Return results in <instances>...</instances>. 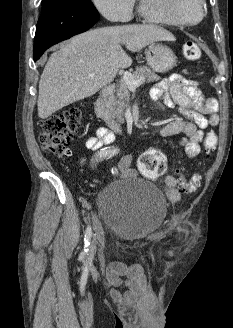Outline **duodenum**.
I'll return each mask as SVG.
<instances>
[{
    "mask_svg": "<svg viewBox=\"0 0 233 328\" xmlns=\"http://www.w3.org/2000/svg\"><path fill=\"white\" fill-rule=\"evenodd\" d=\"M114 92V86L109 85L104 87L95 102V114L97 118L107 122L112 128H118L117 123L112 119L108 109L107 102Z\"/></svg>",
    "mask_w": 233,
    "mask_h": 328,
    "instance_id": "410a0bca",
    "label": "duodenum"
}]
</instances>
